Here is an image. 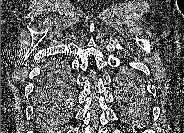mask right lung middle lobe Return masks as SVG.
Segmentation results:
<instances>
[{"label": "right lung middle lobe", "mask_w": 184, "mask_h": 133, "mask_svg": "<svg viewBox=\"0 0 184 133\" xmlns=\"http://www.w3.org/2000/svg\"><path fill=\"white\" fill-rule=\"evenodd\" d=\"M70 81L67 66L60 62H49L43 70L35 92V106L40 116L52 114L63 104V93Z\"/></svg>", "instance_id": "obj_1"}]
</instances>
